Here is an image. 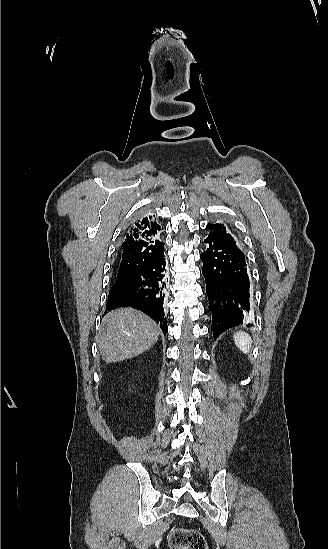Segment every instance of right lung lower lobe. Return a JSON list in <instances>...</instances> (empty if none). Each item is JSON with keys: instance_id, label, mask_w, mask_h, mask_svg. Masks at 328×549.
Here are the masks:
<instances>
[{"instance_id": "1", "label": "right lung lower lobe", "mask_w": 328, "mask_h": 549, "mask_svg": "<svg viewBox=\"0 0 328 549\" xmlns=\"http://www.w3.org/2000/svg\"><path fill=\"white\" fill-rule=\"evenodd\" d=\"M160 253L151 262L129 277L116 280L109 291L105 313L120 307H133L152 317L166 335L164 298L166 290V261Z\"/></svg>"}]
</instances>
